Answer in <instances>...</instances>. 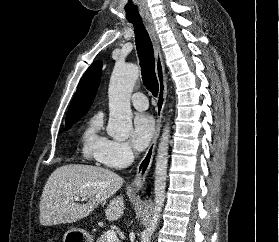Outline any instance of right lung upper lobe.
I'll use <instances>...</instances> for the list:
<instances>
[{
  "label": "right lung upper lobe",
  "mask_w": 279,
  "mask_h": 242,
  "mask_svg": "<svg viewBox=\"0 0 279 242\" xmlns=\"http://www.w3.org/2000/svg\"><path fill=\"white\" fill-rule=\"evenodd\" d=\"M102 71L101 61H95L81 78L66 116V123L80 120L89 110L96 95Z\"/></svg>",
  "instance_id": "cb5924a9"
}]
</instances>
